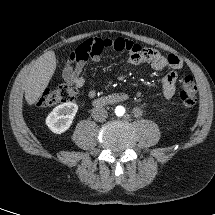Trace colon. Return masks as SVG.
Masks as SVG:
<instances>
[{"mask_svg":"<svg viewBox=\"0 0 215 215\" xmlns=\"http://www.w3.org/2000/svg\"><path fill=\"white\" fill-rule=\"evenodd\" d=\"M197 86L191 76H186L182 82V89L180 92V101L184 107H191L196 103ZM77 98V91L70 86H60L57 89L45 90L36 102L38 107H52L62 103H69L75 101Z\"/></svg>","mask_w":215,"mask_h":215,"instance_id":"colon-1","label":"colon"}]
</instances>
